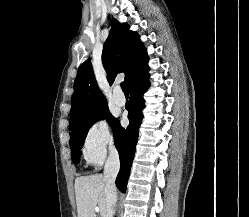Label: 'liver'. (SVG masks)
Listing matches in <instances>:
<instances>
[{"label": "liver", "instance_id": "6515ba94", "mask_svg": "<svg viewBox=\"0 0 249 217\" xmlns=\"http://www.w3.org/2000/svg\"><path fill=\"white\" fill-rule=\"evenodd\" d=\"M106 181L101 174L81 176L75 180L78 217H95L98 206L102 217H110L105 196Z\"/></svg>", "mask_w": 249, "mask_h": 217}]
</instances>
